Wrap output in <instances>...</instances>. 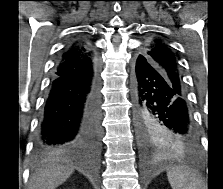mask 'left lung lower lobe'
I'll return each instance as SVG.
<instances>
[{"instance_id":"0a47b994","label":"left lung lower lobe","mask_w":223,"mask_h":189,"mask_svg":"<svg viewBox=\"0 0 223 189\" xmlns=\"http://www.w3.org/2000/svg\"><path fill=\"white\" fill-rule=\"evenodd\" d=\"M135 118L139 131L159 125L181 144L198 141L185 92L150 63L137 60L133 81Z\"/></svg>"}]
</instances>
